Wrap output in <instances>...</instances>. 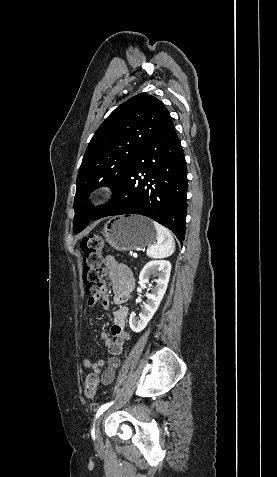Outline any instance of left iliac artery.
I'll return each instance as SVG.
<instances>
[{"label":"left iliac artery","instance_id":"1","mask_svg":"<svg viewBox=\"0 0 277 477\" xmlns=\"http://www.w3.org/2000/svg\"><path fill=\"white\" fill-rule=\"evenodd\" d=\"M113 404V402H110V403H107V404H104L102 405L99 410L97 411V414H96V418H98L104 411H106L111 405ZM94 431V429H93Z\"/></svg>","mask_w":277,"mask_h":477}]
</instances>
